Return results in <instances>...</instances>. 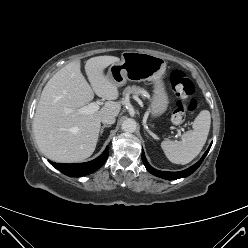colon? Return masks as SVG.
Segmentation results:
<instances>
[{"instance_id":"5ec220e1","label":"colon","mask_w":248,"mask_h":248,"mask_svg":"<svg viewBox=\"0 0 248 248\" xmlns=\"http://www.w3.org/2000/svg\"><path fill=\"white\" fill-rule=\"evenodd\" d=\"M169 81L177 95V105L172 122L180 125L184 122L187 113L194 111L197 106V102L193 98L194 86L185 73L178 69L171 71Z\"/></svg>"}]
</instances>
